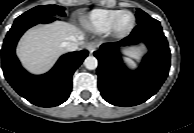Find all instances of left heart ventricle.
Segmentation results:
<instances>
[{
  "mask_svg": "<svg viewBox=\"0 0 194 133\" xmlns=\"http://www.w3.org/2000/svg\"><path fill=\"white\" fill-rule=\"evenodd\" d=\"M132 24V17L128 13H124L120 16L117 22V29L119 31L127 30Z\"/></svg>",
  "mask_w": 194,
  "mask_h": 133,
  "instance_id": "b2bd125f",
  "label": "left heart ventricle"
}]
</instances>
